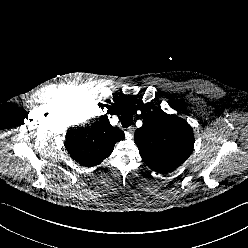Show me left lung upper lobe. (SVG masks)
Listing matches in <instances>:
<instances>
[{"label": "left lung upper lobe", "mask_w": 248, "mask_h": 248, "mask_svg": "<svg viewBox=\"0 0 248 248\" xmlns=\"http://www.w3.org/2000/svg\"><path fill=\"white\" fill-rule=\"evenodd\" d=\"M134 141L150 169L168 173L190 156L194 135L184 119L157 108L144 115L142 127L135 131Z\"/></svg>", "instance_id": "obj_1"}]
</instances>
